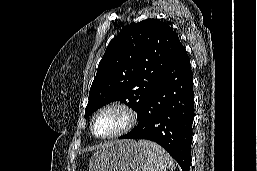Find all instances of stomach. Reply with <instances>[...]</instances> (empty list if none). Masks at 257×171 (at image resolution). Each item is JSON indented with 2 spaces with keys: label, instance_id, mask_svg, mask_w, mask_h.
I'll return each mask as SVG.
<instances>
[{
  "label": "stomach",
  "instance_id": "stomach-1",
  "mask_svg": "<svg viewBox=\"0 0 257 171\" xmlns=\"http://www.w3.org/2000/svg\"><path fill=\"white\" fill-rule=\"evenodd\" d=\"M144 149L134 140L97 151L90 160V171H142Z\"/></svg>",
  "mask_w": 257,
  "mask_h": 171
}]
</instances>
